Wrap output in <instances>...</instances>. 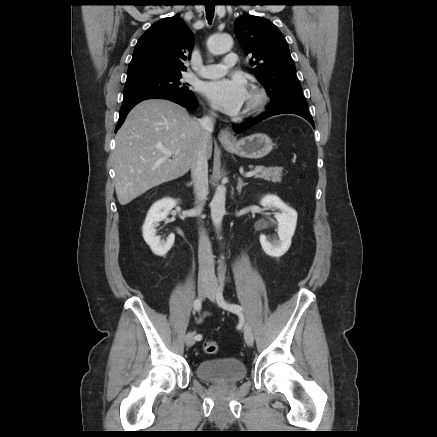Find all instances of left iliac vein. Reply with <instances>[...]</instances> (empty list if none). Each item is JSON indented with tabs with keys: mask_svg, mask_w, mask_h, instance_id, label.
<instances>
[{
	"mask_svg": "<svg viewBox=\"0 0 437 437\" xmlns=\"http://www.w3.org/2000/svg\"><path fill=\"white\" fill-rule=\"evenodd\" d=\"M215 295H216L215 289L211 288L210 292L207 295V297L211 301H215ZM243 332H244V339H245L246 344L248 346H252L253 343H254V336H253L252 329H251V327L248 324L244 325Z\"/></svg>",
	"mask_w": 437,
	"mask_h": 437,
	"instance_id": "1",
	"label": "left iliac vein"
}]
</instances>
